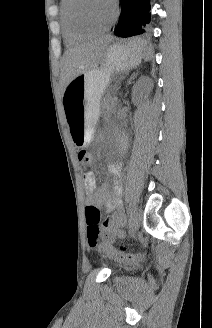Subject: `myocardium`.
<instances>
[{
  "instance_id": "myocardium-1",
  "label": "myocardium",
  "mask_w": 212,
  "mask_h": 328,
  "mask_svg": "<svg viewBox=\"0 0 212 328\" xmlns=\"http://www.w3.org/2000/svg\"><path fill=\"white\" fill-rule=\"evenodd\" d=\"M71 1H72V3L69 8L70 20H71L73 26L79 30L92 32V33L103 32V31H106L109 28H111L118 18V8L116 5H113L114 13H113V17L109 21V23H107L104 26L92 25V24L88 23L87 21H85L80 14V9H81L82 5L86 2V0H71Z\"/></svg>"
}]
</instances>
